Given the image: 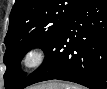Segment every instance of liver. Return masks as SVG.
I'll use <instances>...</instances> for the list:
<instances>
[{"instance_id":"obj_1","label":"liver","mask_w":107,"mask_h":89,"mask_svg":"<svg viewBox=\"0 0 107 89\" xmlns=\"http://www.w3.org/2000/svg\"><path fill=\"white\" fill-rule=\"evenodd\" d=\"M63 84L57 82H50L36 87V89H61Z\"/></svg>"}]
</instances>
